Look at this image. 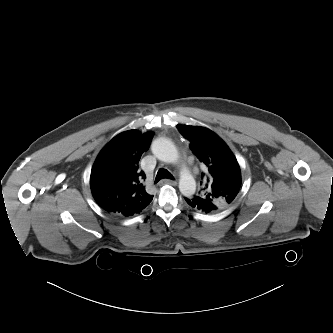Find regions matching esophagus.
I'll return each mask as SVG.
<instances>
[{"label":"esophagus","mask_w":333,"mask_h":333,"mask_svg":"<svg viewBox=\"0 0 333 333\" xmlns=\"http://www.w3.org/2000/svg\"><path fill=\"white\" fill-rule=\"evenodd\" d=\"M161 184L176 185L177 181L176 180H170V179H164V180L161 181Z\"/></svg>","instance_id":"1"}]
</instances>
